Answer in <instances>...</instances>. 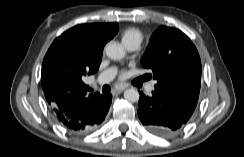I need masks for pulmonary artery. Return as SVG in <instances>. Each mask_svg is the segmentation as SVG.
Wrapping results in <instances>:
<instances>
[{
    "label": "pulmonary artery",
    "mask_w": 244,
    "mask_h": 157,
    "mask_svg": "<svg viewBox=\"0 0 244 157\" xmlns=\"http://www.w3.org/2000/svg\"><path fill=\"white\" fill-rule=\"evenodd\" d=\"M125 47L129 51H135V50L138 49L139 44H137V43H129V44H126ZM115 74H116V69L115 68H109V69L105 70L104 72H102L99 75L97 83L98 84L108 83L114 78ZM146 90H147V92H151L153 90V84H149L146 87Z\"/></svg>",
    "instance_id": "obj_1"
}]
</instances>
